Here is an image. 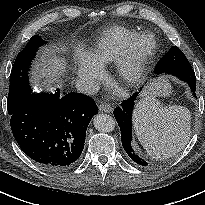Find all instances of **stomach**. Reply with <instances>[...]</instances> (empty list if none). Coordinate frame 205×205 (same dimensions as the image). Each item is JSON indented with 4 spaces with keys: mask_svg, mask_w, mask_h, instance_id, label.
Masks as SVG:
<instances>
[{
    "mask_svg": "<svg viewBox=\"0 0 205 205\" xmlns=\"http://www.w3.org/2000/svg\"><path fill=\"white\" fill-rule=\"evenodd\" d=\"M166 93V88L164 85H159L158 87H155L152 90H146L141 96V99L139 100L138 105L142 104L146 107H152L157 102V97L163 96Z\"/></svg>",
    "mask_w": 205,
    "mask_h": 205,
    "instance_id": "1",
    "label": "stomach"
}]
</instances>
